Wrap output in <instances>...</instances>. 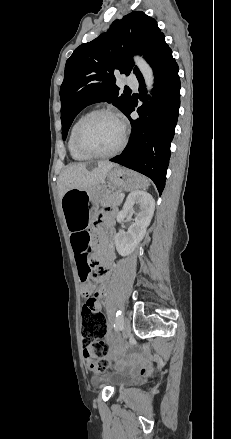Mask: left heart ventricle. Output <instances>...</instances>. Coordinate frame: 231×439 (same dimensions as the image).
Returning <instances> with one entry per match:
<instances>
[{
	"mask_svg": "<svg viewBox=\"0 0 231 439\" xmlns=\"http://www.w3.org/2000/svg\"><path fill=\"white\" fill-rule=\"evenodd\" d=\"M122 137V127L113 118L101 116L91 121L83 130V145L95 153H107L117 147Z\"/></svg>",
	"mask_w": 231,
	"mask_h": 439,
	"instance_id": "1",
	"label": "left heart ventricle"
}]
</instances>
